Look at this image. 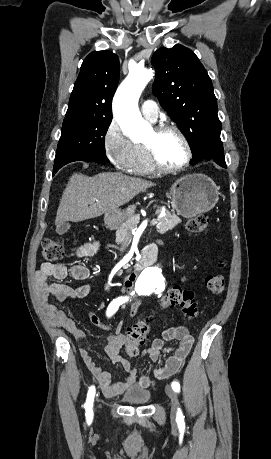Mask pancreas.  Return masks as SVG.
Segmentation results:
<instances>
[{"label": "pancreas", "mask_w": 271, "mask_h": 459, "mask_svg": "<svg viewBox=\"0 0 271 459\" xmlns=\"http://www.w3.org/2000/svg\"><path fill=\"white\" fill-rule=\"evenodd\" d=\"M177 220L178 218L177 216H175V214H171V212H168V210H166L165 216L157 220L158 231H160V233H165V231L168 230L172 231L174 228L178 226ZM137 224L138 222L137 220H135V218H129V220H127L125 224H122V226H120V228L117 229L116 241H122L124 244H127L131 237V229L135 228Z\"/></svg>", "instance_id": "pancreas-1"}]
</instances>
